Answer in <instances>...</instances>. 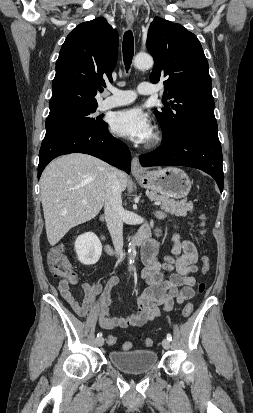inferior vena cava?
Segmentation results:
<instances>
[{"label":"inferior vena cava","mask_w":253,"mask_h":413,"mask_svg":"<svg viewBox=\"0 0 253 413\" xmlns=\"http://www.w3.org/2000/svg\"><path fill=\"white\" fill-rule=\"evenodd\" d=\"M119 172L113 168L107 182L104 212L115 251L120 254L123 248V207Z\"/></svg>","instance_id":"602c4592"}]
</instances>
